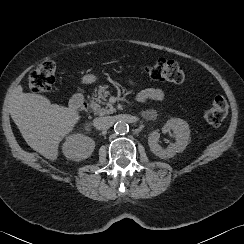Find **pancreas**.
<instances>
[{
  "instance_id": "obj_1",
  "label": "pancreas",
  "mask_w": 244,
  "mask_h": 244,
  "mask_svg": "<svg viewBox=\"0 0 244 244\" xmlns=\"http://www.w3.org/2000/svg\"><path fill=\"white\" fill-rule=\"evenodd\" d=\"M94 104H95V114L103 116L107 114H112L116 110L110 103H105L106 98L110 95V92L107 90V86H99L98 90H95ZM100 104H105L104 107H101ZM147 117L148 114H145Z\"/></svg>"
}]
</instances>
